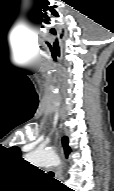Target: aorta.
<instances>
[{
  "mask_svg": "<svg viewBox=\"0 0 114 191\" xmlns=\"http://www.w3.org/2000/svg\"><path fill=\"white\" fill-rule=\"evenodd\" d=\"M26 159L35 166H58L60 159L56 153L50 150H34L28 153Z\"/></svg>",
  "mask_w": 114,
  "mask_h": 191,
  "instance_id": "762f6f07",
  "label": "aorta"
}]
</instances>
